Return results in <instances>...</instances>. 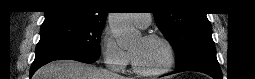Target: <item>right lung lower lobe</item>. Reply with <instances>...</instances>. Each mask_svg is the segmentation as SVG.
Instances as JSON below:
<instances>
[{"mask_svg": "<svg viewBox=\"0 0 255 79\" xmlns=\"http://www.w3.org/2000/svg\"><path fill=\"white\" fill-rule=\"evenodd\" d=\"M61 59H69V60H76L84 63H93L98 58H91L81 55H75V54H67V53H53V54H46L43 56L35 57L34 62L32 63L31 69H30V77L35 73L37 69H39L41 66L54 61V60H61Z\"/></svg>", "mask_w": 255, "mask_h": 79, "instance_id": "right-lung-lower-lobe-1", "label": "right lung lower lobe"}]
</instances>
